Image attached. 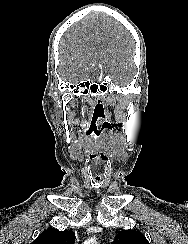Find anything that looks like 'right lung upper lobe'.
Masks as SVG:
<instances>
[{
	"label": "right lung upper lobe",
	"instance_id": "right-lung-upper-lobe-1",
	"mask_svg": "<svg viewBox=\"0 0 188 244\" xmlns=\"http://www.w3.org/2000/svg\"><path fill=\"white\" fill-rule=\"evenodd\" d=\"M75 234L71 230L59 231L49 228L42 232L31 244H74Z\"/></svg>",
	"mask_w": 188,
	"mask_h": 244
}]
</instances>
